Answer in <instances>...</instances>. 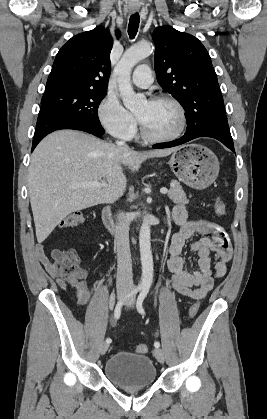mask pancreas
<instances>
[{
	"label": "pancreas",
	"mask_w": 267,
	"mask_h": 419,
	"mask_svg": "<svg viewBox=\"0 0 267 419\" xmlns=\"http://www.w3.org/2000/svg\"><path fill=\"white\" fill-rule=\"evenodd\" d=\"M169 198L177 204H188L189 200L187 199V196L185 192L182 189V186L177 180L171 181V188L168 192Z\"/></svg>",
	"instance_id": "obj_1"
}]
</instances>
